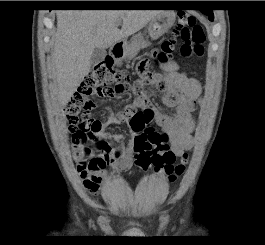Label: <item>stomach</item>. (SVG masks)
<instances>
[{
    "instance_id": "0dacf381",
    "label": "stomach",
    "mask_w": 265,
    "mask_h": 245,
    "mask_svg": "<svg viewBox=\"0 0 265 245\" xmlns=\"http://www.w3.org/2000/svg\"><path fill=\"white\" fill-rule=\"evenodd\" d=\"M175 22V13L163 11V13L152 18L148 24V33L152 39H158L164 33L168 32V30L173 26ZM137 44L140 47L144 45L143 36L141 34H137L131 40V44L127 45L126 54L128 53V49L131 45Z\"/></svg>"
}]
</instances>
